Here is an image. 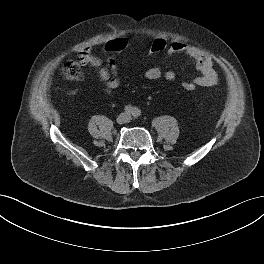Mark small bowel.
Listing matches in <instances>:
<instances>
[{
    "label": "small bowel",
    "mask_w": 264,
    "mask_h": 264,
    "mask_svg": "<svg viewBox=\"0 0 264 264\" xmlns=\"http://www.w3.org/2000/svg\"><path fill=\"white\" fill-rule=\"evenodd\" d=\"M166 52L168 55H185L195 61V66L200 75L194 79L197 86L210 87L216 84L217 74L213 67L211 58L198 48L184 42L174 41L168 45ZM78 62L81 66H91L97 70L99 79L109 89H116L121 84L116 61L111 56H107L106 63L95 56L91 46H86L78 51ZM175 72L172 70L163 71L159 67H152L145 71L144 77L148 80L163 78L167 81L175 79Z\"/></svg>",
    "instance_id": "obj_1"
}]
</instances>
